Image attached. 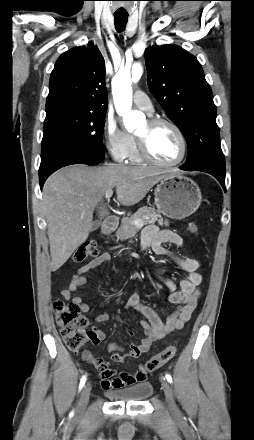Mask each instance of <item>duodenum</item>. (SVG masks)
<instances>
[{"mask_svg": "<svg viewBox=\"0 0 254 440\" xmlns=\"http://www.w3.org/2000/svg\"><path fill=\"white\" fill-rule=\"evenodd\" d=\"M118 225V219L115 216H108L102 226V233L107 235L111 233Z\"/></svg>", "mask_w": 254, "mask_h": 440, "instance_id": "1", "label": "duodenum"}]
</instances>
